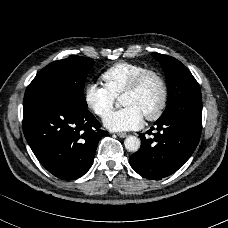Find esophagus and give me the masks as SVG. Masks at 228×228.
<instances>
[{
	"instance_id": "34e87169",
	"label": "esophagus",
	"mask_w": 228,
	"mask_h": 228,
	"mask_svg": "<svg viewBox=\"0 0 228 228\" xmlns=\"http://www.w3.org/2000/svg\"><path fill=\"white\" fill-rule=\"evenodd\" d=\"M116 135H117L118 137H120V138H125V137H127V134L124 133V132H118V133H116Z\"/></svg>"
}]
</instances>
